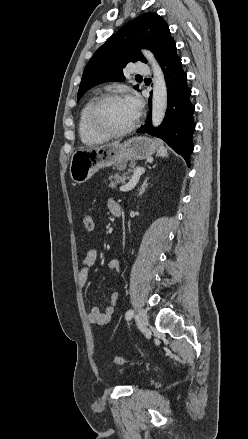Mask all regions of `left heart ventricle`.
Returning a JSON list of instances; mask_svg holds the SVG:
<instances>
[{
	"label": "left heart ventricle",
	"instance_id": "left-heart-ventricle-1",
	"mask_svg": "<svg viewBox=\"0 0 248 439\" xmlns=\"http://www.w3.org/2000/svg\"><path fill=\"white\" fill-rule=\"evenodd\" d=\"M137 114L126 99L107 103L100 113V119L109 129L122 130L130 126Z\"/></svg>",
	"mask_w": 248,
	"mask_h": 439
}]
</instances>
